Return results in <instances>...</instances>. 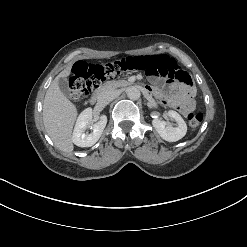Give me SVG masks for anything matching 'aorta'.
<instances>
[{"instance_id": "aorta-1", "label": "aorta", "mask_w": 247, "mask_h": 247, "mask_svg": "<svg viewBox=\"0 0 247 247\" xmlns=\"http://www.w3.org/2000/svg\"><path fill=\"white\" fill-rule=\"evenodd\" d=\"M127 96L131 100H138L140 98V96H141V93H140V90L137 87L132 86V87L128 88Z\"/></svg>"}]
</instances>
